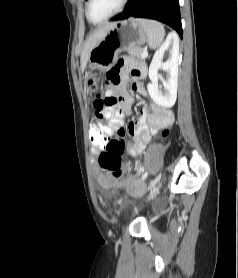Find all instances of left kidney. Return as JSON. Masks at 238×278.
<instances>
[{
    "label": "left kidney",
    "instance_id": "obj_1",
    "mask_svg": "<svg viewBox=\"0 0 238 278\" xmlns=\"http://www.w3.org/2000/svg\"><path fill=\"white\" fill-rule=\"evenodd\" d=\"M164 55L168 59L163 62ZM178 61H179V40L174 33H170L166 41L155 52L149 67V79L147 89L151 99L159 106L171 108L177 98L178 80ZM163 69L167 72L168 78L163 80L164 91L158 88V70Z\"/></svg>",
    "mask_w": 238,
    "mask_h": 278
}]
</instances>
